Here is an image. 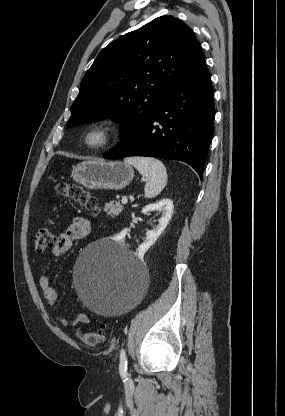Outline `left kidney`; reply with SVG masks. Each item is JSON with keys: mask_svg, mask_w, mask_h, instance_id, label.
<instances>
[{"mask_svg": "<svg viewBox=\"0 0 285 416\" xmlns=\"http://www.w3.org/2000/svg\"><path fill=\"white\" fill-rule=\"evenodd\" d=\"M174 206L171 200H160L157 204H149V206H145L142 210V214H147V212H162V218L159 220V226H157L156 230H148L146 232V238L140 246H138L136 250L137 256L142 258L145 252L155 244L157 238L161 236L162 232H164L165 228L168 226L169 220L172 218ZM127 232H129L128 228H125L123 232H121V238H125Z\"/></svg>", "mask_w": 285, "mask_h": 416, "instance_id": "1", "label": "left kidney"}]
</instances>
